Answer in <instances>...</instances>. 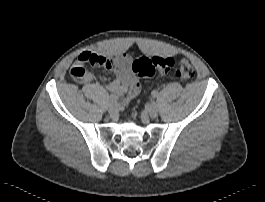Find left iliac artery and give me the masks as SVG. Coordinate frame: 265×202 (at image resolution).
Listing matches in <instances>:
<instances>
[{"mask_svg": "<svg viewBox=\"0 0 265 202\" xmlns=\"http://www.w3.org/2000/svg\"><path fill=\"white\" fill-rule=\"evenodd\" d=\"M157 95H158V93L156 92V91H153L152 92V96L155 98V97H157Z\"/></svg>", "mask_w": 265, "mask_h": 202, "instance_id": "obj_1", "label": "left iliac artery"}]
</instances>
